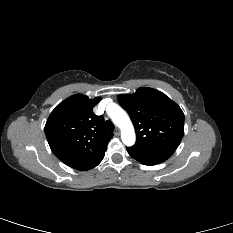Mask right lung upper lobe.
Here are the masks:
<instances>
[{
  "mask_svg": "<svg viewBox=\"0 0 233 233\" xmlns=\"http://www.w3.org/2000/svg\"><path fill=\"white\" fill-rule=\"evenodd\" d=\"M100 97L75 94L50 114L45 134L52 152L66 165L81 171L92 168L103 156L113 133L104 118L93 112Z\"/></svg>",
  "mask_w": 233,
  "mask_h": 233,
  "instance_id": "1",
  "label": "right lung upper lobe"
}]
</instances>
